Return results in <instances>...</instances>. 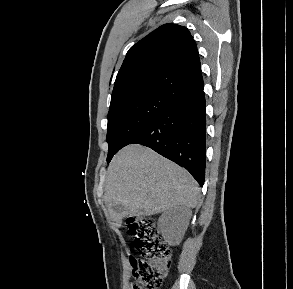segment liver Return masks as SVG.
Returning <instances> with one entry per match:
<instances>
[{"instance_id":"liver-1","label":"liver","mask_w":293,"mask_h":289,"mask_svg":"<svg viewBox=\"0 0 293 289\" xmlns=\"http://www.w3.org/2000/svg\"><path fill=\"white\" fill-rule=\"evenodd\" d=\"M200 194L187 170L150 148L134 144L120 150L107 170L104 201L121 225L127 217L151 216L175 206L195 207ZM122 205L123 213L113 207Z\"/></svg>"}]
</instances>
